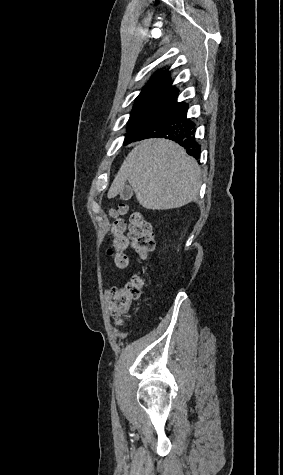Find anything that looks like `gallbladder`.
Wrapping results in <instances>:
<instances>
[{
  "mask_svg": "<svg viewBox=\"0 0 283 475\" xmlns=\"http://www.w3.org/2000/svg\"><path fill=\"white\" fill-rule=\"evenodd\" d=\"M133 196V190L131 186H124L122 192H120L121 200H130Z\"/></svg>",
  "mask_w": 283,
  "mask_h": 475,
  "instance_id": "1",
  "label": "gallbladder"
}]
</instances>
